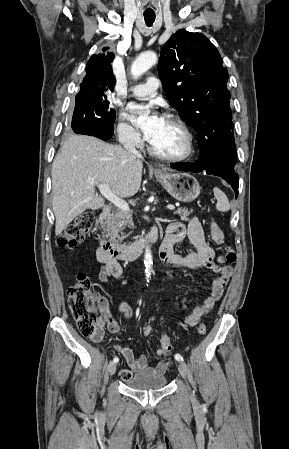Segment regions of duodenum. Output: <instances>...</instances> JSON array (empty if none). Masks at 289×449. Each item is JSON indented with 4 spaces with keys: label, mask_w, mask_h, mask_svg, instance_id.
I'll return each instance as SVG.
<instances>
[{
    "label": "duodenum",
    "mask_w": 289,
    "mask_h": 449,
    "mask_svg": "<svg viewBox=\"0 0 289 449\" xmlns=\"http://www.w3.org/2000/svg\"><path fill=\"white\" fill-rule=\"evenodd\" d=\"M111 214V208L105 206L102 208L100 214L95 219L94 232L96 234L99 248L108 255L122 261H129L136 259L141 255L145 247L149 244L155 243L158 238V229L154 226L151 231L141 239H138L130 244H112L104 238L101 233V224L103 220Z\"/></svg>",
    "instance_id": "1"
}]
</instances>
